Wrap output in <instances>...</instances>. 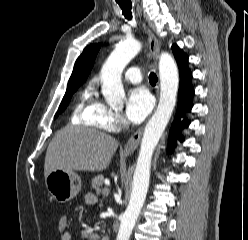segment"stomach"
Wrapping results in <instances>:
<instances>
[{
  "label": "stomach",
  "mask_w": 248,
  "mask_h": 240,
  "mask_svg": "<svg viewBox=\"0 0 248 240\" xmlns=\"http://www.w3.org/2000/svg\"><path fill=\"white\" fill-rule=\"evenodd\" d=\"M45 184L52 197L59 203L73 199L81 190V178L73 171L57 169L45 178Z\"/></svg>",
  "instance_id": "stomach-1"
}]
</instances>
